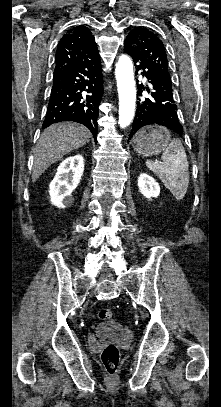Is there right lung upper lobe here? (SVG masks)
Returning a JSON list of instances; mask_svg holds the SVG:
<instances>
[{"mask_svg": "<svg viewBox=\"0 0 221 407\" xmlns=\"http://www.w3.org/2000/svg\"><path fill=\"white\" fill-rule=\"evenodd\" d=\"M96 50L97 45L91 31L83 25L73 27L63 35L58 44L54 74L90 58Z\"/></svg>", "mask_w": 221, "mask_h": 407, "instance_id": "right-lung-upper-lobe-1", "label": "right lung upper lobe"}]
</instances>
